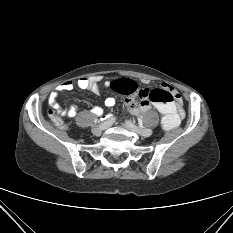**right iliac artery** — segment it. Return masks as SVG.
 Segmentation results:
<instances>
[{
  "mask_svg": "<svg viewBox=\"0 0 233 233\" xmlns=\"http://www.w3.org/2000/svg\"><path fill=\"white\" fill-rule=\"evenodd\" d=\"M115 118L111 115V117L109 119H107L103 124H101V127H107L108 125H110V123L114 120Z\"/></svg>",
  "mask_w": 233,
  "mask_h": 233,
  "instance_id": "right-iliac-artery-1",
  "label": "right iliac artery"
}]
</instances>
